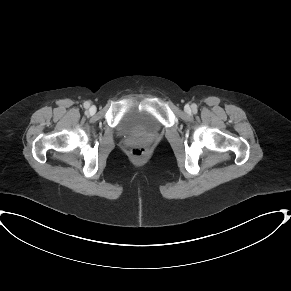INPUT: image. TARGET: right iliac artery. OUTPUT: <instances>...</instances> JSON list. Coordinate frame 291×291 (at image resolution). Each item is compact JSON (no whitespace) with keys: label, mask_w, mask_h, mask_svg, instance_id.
Here are the masks:
<instances>
[{"label":"right iliac artery","mask_w":291,"mask_h":291,"mask_svg":"<svg viewBox=\"0 0 291 291\" xmlns=\"http://www.w3.org/2000/svg\"><path fill=\"white\" fill-rule=\"evenodd\" d=\"M89 106H90V103H89V102H85V103H84V107H85V108H88Z\"/></svg>","instance_id":"82829eb1"}]
</instances>
